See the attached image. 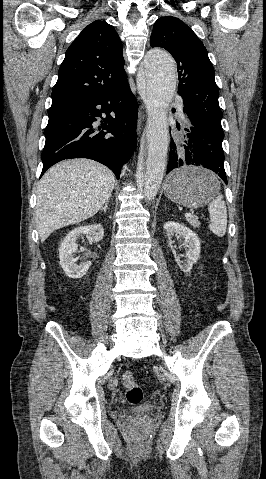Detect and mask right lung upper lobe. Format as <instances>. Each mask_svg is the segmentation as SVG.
<instances>
[{
  "instance_id": "cb5924a9",
  "label": "right lung upper lobe",
  "mask_w": 266,
  "mask_h": 479,
  "mask_svg": "<svg viewBox=\"0 0 266 479\" xmlns=\"http://www.w3.org/2000/svg\"><path fill=\"white\" fill-rule=\"evenodd\" d=\"M126 82L121 39L112 25L96 20L67 49L51 97L87 96Z\"/></svg>"
}]
</instances>
